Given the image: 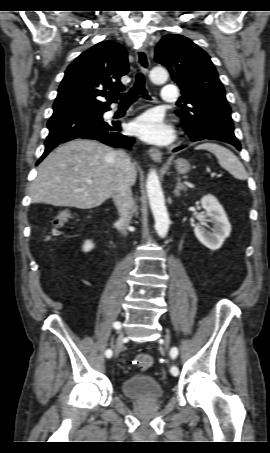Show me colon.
Returning <instances> with one entry per match:
<instances>
[{"instance_id":"5ec220e1","label":"colon","mask_w":270,"mask_h":453,"mask_svg":"<svg viewBox=\"0 0 270 453\" xmlns=\"http://www.w3.org/2000/svg\"><path fill=\"white\" fill-rule=\"evenodd\" d=\"M69 221V214L67 212L59 213L55 216L52 222V237H60L63 233L65 225ZM135 364L140 370H147L153 364V357L149 353H139L135 357Z\"/></svg>"}]
</instances>
